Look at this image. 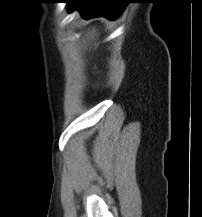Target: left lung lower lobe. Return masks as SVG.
<instances>
[{
  "label": "left lung lower lobe",
  "mask_w": 202,
  "mask_h": 217,
  "mask_svg": "<svg viewBox=\"0 0 202 217\" xmlns=\"http://www.w3.org/2000/svg\"><path fill=\"white\" fill-rule=\"evenodd\" d=\"M69 12L80 11L82 17H105L113 20L120 15L128 0H67Z\"/></svg>",
  "instance_id": "0a47b994"
}]
</instances>
